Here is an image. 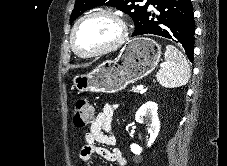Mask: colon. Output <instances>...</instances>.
<instances>
[{
    "instance_id": "obj_1",
    "label": "colon",
    "mask_w": 227,
    "mask_h": 166,
    "mask_svg": "<svg viewBox=\"0 0 227 166\" xmlns=\"http://www.w3.org/2000/svg\"><path fill=\"white\" fill-rule=\"evenodd\" d=\"M93 107L86 96L76 99L73 108V122L77 128H83L93 119Z\"/></svg>"
}]
</instances>
